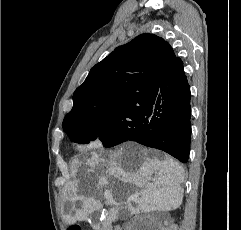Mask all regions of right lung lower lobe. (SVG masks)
<instances>
[{"mask_svg": "<svg viewBox=\"0 0 241 230\" xmlns=\"http://www.w3.org/2000/svg\"><path fill=\"white\" fill-rule=\"evenodd\" d=\"M190 99V86L178 58L163 76L156 97L146 105L148 126L141 133L129 135L126 141L163 150L186 163L191 140Z\"/></svg>", "mask_w": 241, "mask_h": 230, "instance_id": "obj_1", "label": "right lung lower lobe"}]
</instances>
